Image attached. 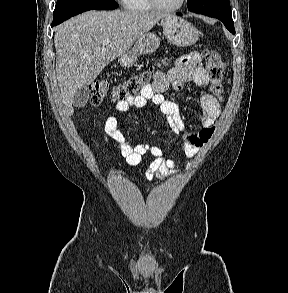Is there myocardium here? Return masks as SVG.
<instances>
[{"mask_svg":"<svg viewBox=\"0 0 288 293\" xmlns=\"http://www.w3.org/2000/svg\"><path fill=\"white\" fill-rule=\"evenodd\" d=\"M153 8L164 11V12H175L181 9L185 3V0H179V2L174 6H164L158 0H149Z\"/></svg>","mask_w":288,"mask_h":293,"instance_id":"obj_1","label":"myocardium"}]
</instances>
